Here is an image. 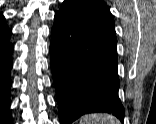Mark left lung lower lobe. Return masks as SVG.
I'll use <instances>...</instances> for the list:
<instances>
[{
    "label": "left lung lower lobe",
    "mask_w": 156,
    "mask_h": 124,
    "mask_svg": "<svg viewBox=\"0 0 156 124\" xmlns=\"http://www.w3.org/2000/svg\"><path fill=\"white\" fill-rule=\"evenodd\" d=\"M54 20L50 55L60 123L100 112L123 122L114 24L76 0H65Z\"/></svg>",
    "instance_id": "1"
}]
</instances>
